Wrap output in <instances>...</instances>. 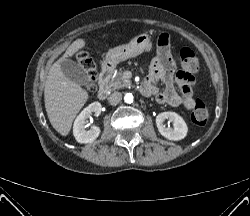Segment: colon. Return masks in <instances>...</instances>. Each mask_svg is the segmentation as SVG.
Returning <instances> with one entry per match:
<instances>
[{
  "label": "colon",
  "mask_w": 250,
  "mask_h": 216,
  "mask_svg": "<svg viewBox=\"0 0 250 216\" xmlns=\"http://www.w3.org/2000/svg\"><path fill=\"white\" fill-rule=\"evenodd\" d=\"M78 59L83 66L84 70L90 77V83L88 89L92 90L94 88V63L92 59L84 52L79 53ZM179 61L182 68V73L187 76H192L199 69V60L195 52L187 47L182 48L179 51ZM209 117L208 109L206 105L201 100L195 101V106L191 113V119L193 123L197 125H204Z\"/></svg>",
  "instance_id": "1"
}]
</instances>
